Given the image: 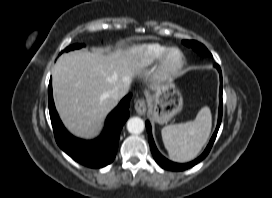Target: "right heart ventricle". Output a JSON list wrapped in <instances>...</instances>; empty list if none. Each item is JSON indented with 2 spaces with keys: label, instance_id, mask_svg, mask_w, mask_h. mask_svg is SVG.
<instances>
[{
  "label": "right heart ventricle",
  "instance_id": "1",
  "mask_svg": "<svg viewBox=\"0 0 272 198\" xmlns=\"http://www.w3.org/2000/svg\"><path fill=\"white\" fill-rule=\"evenodd\" d=\"M168 49V46L159 43L144 44L134 50L135 62L140 67L151 66L157 63Z\"/></svg>",
  "mask_w": 272,
  "mask_h": 198
}]
</instances>
